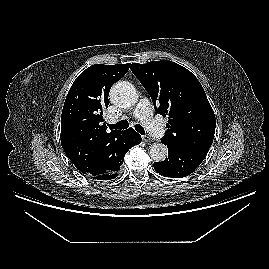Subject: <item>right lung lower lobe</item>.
<instances>
[{"label":"right lung lower lobe","mask_w":269,"mask_h":269,"mask_svg":"<svg viewBox=\"0 0 269 269\" xmlns=\"http://www.w3.org/2000/svg\"><path fill=\"white\" fill-rule=\"evenodd\" d=\"M141 136L135 132L132 128L123 131L119 146V155L117 159L112 163L110 170L106 173L100 175H89L90 177L98 180H110L117 177V171L120 169V166L123 164V158L126 152L133 146L141 143Z\"/></svg>","instance_id":"right-lung-lower-lobe-1"}]
</instances>
